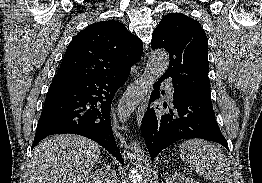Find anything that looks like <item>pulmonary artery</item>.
Segmentation results:
<instances>
[{
	"instance_id": "1",
	"label": "pulmonary artery",
	"mask_w": 262,
	"mask_h": 183,
	"mask_svg": "<svg viewBox=\"0 0 262 183\" xmlns=\"http://www.w3.org/2000/svg\"><path fill=\"white\" fill-rule=\"evenodd\" d=\"M164 85H165V88L167 90L169 99H172L173 98V92H174L172 82L169 81V80H164Z\"/></svg>"
}]
</instances>
